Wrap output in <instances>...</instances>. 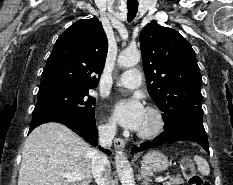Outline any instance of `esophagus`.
<instances>
[{"mask_svg": "<svg viewBox=\"0 0 233 185\" xmlns=\"http://www.w3.org/2000/svg\"><path fill=\"white\" fill-rule=\"evenodd\" d=\"M114 146L116 149H124L125 141L122 138H115L114 139Z\"/></svg>", "mask_w": 233, "mask_h": 185, "instance_id": "34e87169", "label": "esophagus"}]
</instances>
